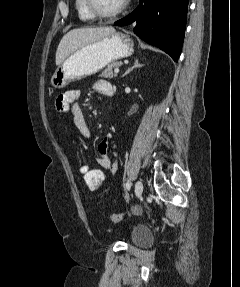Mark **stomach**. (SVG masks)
<instances>
[{
    "label": "stomach",
    "mask_w": 240,
    "mask_h": 287,
    "mask_svg": "<svg viewBox=\"0 0 240 287\" xmlns=\"http://www.w3.org/2000/svg\"><path fill=\"white\" fill-rule=\"evenodd\" d=\"M133 41L122 32H114L71 53L56 69L51 85L64 88L72 81L95 74L110 63L133 54Z\"/></svg>",
    "instance_id": "stomach-1"
}]
</instances>
